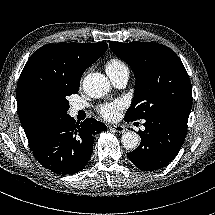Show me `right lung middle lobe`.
<instances>
[{
    "label": "right lung middle lobe",
    "mask_w": 215,
    "mask_h": 215,
    "mask_svg": "<svg viewBox=\"0 0 215 215\" xmlns=\"http://www.w3.org/2000/svg\"><path fill=\"white\" fill-rule=\"evenodd\" d=\"M78 90L63 92L57 96H51L42 101L41 105L45 114L53 121L59 122L66 116L69 109L67 96L76 94Z\"/></svg>",
    "instance_id": "obj_1"
}]
</instances>
